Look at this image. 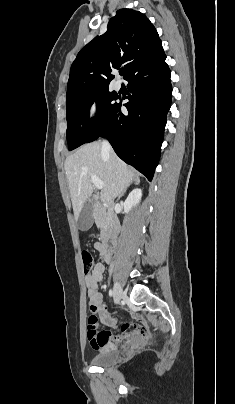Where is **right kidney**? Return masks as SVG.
<instances>
[{
    "mask_svg": "<svg viewBox=\"0 0 235 404\" xmlns=\"http://www.w3.org/2000/svg\"><path fill=\"white\" fill-rule=\"evenodd\" d=\"M142 197V190L141 189H134L127 197L124 202V209L125 212L128 213L132 207L136 206Z\"/></svg>",
    "mask_w": 235,
    "mask_h": 404,
    "instance_id": "ca27d5eb",
    "label": "right kidney"
}]
</instances>
